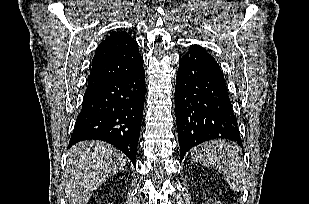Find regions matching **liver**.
Returning a JSON list of instances; mask_svg holds the SVG:
<instances>
[{
	"label": "liver",
	"mask_w": 309,
	"mask_h": 204,
	"mask_svg": "<svg viewBox=\"0 0 309 204\" xmlns=\"http://www.w3.org/2000/svg\"><path fill=\"white\" fill-rule=\"evenodd\" d=\"M63 187L69 204H87L93 192L120 171L126 157L102 141H84L67 153Z\"/></svg>",
	"instance_id": "obj_1"
}]
</instances>
